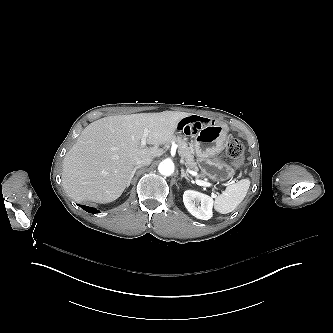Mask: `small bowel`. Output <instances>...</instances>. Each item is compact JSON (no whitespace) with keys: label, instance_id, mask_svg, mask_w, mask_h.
<instances>
[{"label":"small bowel","instance_id":"1","mask_svg":"<svg viewBox=\"0 0 333 333\" xmlns=\"http://www.w3.org/2000/svg\"><path fill=\"white\" fill-rule=\"evenodd\" d=\"M208 123V120L197 116V115H191L187 117L186 119H178L174 127L178 131H182L187 133V134H194L198 132L199 128L203 127Z\"/></svg>","mask_w":333,"mask_h":333}]
</instances>
